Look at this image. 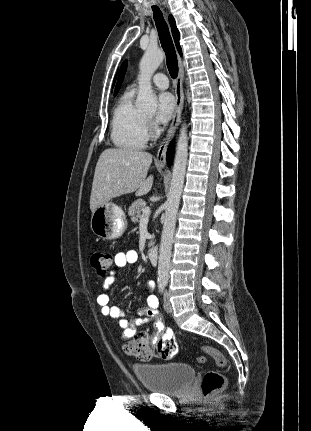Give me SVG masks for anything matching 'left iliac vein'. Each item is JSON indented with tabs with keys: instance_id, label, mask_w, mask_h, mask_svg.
I'll return each mask as SVG.
<instances>
[{
	"instance_id": "4c4485c4",
	"label": "left iliac vein",
	"mask_w": 311,
	"mask_h": 431,
	"mask_svg": "<svg viewBox=\"0 0 311 431\" xmlns=\"http://www.w3.org/2000/svg\"><path fill=\"white\" fill-rule=\"evenodd\" d=\"M164 308L167 312H172V305L169 301V293L168 291H165L164 293Z\"/></svg>"
}]
</instances>
